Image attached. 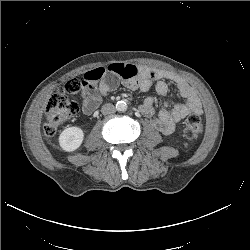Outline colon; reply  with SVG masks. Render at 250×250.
I'll return each instance as SVG.
<instances>
[{
  "mask_svg": "<svg viewBox=\"0 0 250 250\" xmlns=\"http://www.w3.org/2000/svg\"><path fill=\"white\" fill-rule=\"evenodd\" d=\"M81 86V81L72 79L67 81L50 97L45 107L46 122L43 126L45 135H54L62 123L78 112L79 105L70 96L77 94ZM203 131L202 121L197 114H191L187 117L184 124L185 137L189 139L199 138L202 136Z\"/></svg>",
  "mask_w": 250,
  "mask_h": 250,
  "instance_id": "obj_1",
  "label": "colon"
}]
</instances>
